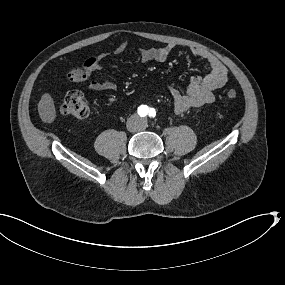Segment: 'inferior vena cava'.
<instances>
[{
	"instance_id": "602c4592",
	"label": "inferior vena cava",
	"mask_w": 285,
	"mask_h": 285,
	"mask_svg": "<svg viewBox=\"0 0 285 285\" xmlns=\"http://www.w3.org/2000/svg\"><path fill=\"white\" fill-rule=\"evenodd\" d=\"M129 130H130V131H133V132H136V131H139L140 129H138V128L136 127V128H134V129H133V128H129Z\"/></svg>"
}]
</instances>
